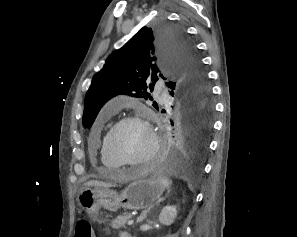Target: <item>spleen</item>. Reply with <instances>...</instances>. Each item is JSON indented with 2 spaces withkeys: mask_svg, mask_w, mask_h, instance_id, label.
I'll return each instance as SVG.
<instances>
[{
  "mask_svg": "<svg viewBox=\"0 0 297 237\" xmlns=\"http://www.w3.org/2000/svg\"><path fill=\"white\" fill-rule=\"evenodd\" d=\"M160 182L165 186V187H170V185H171V181L168 179V178H166V177H161L160 178Z\"/></svg>",
  "mask_w": 297,
  "mask_h": 237,
  "instance_id": "obj_1",
  "label": "spleen"
}]
</instances>
